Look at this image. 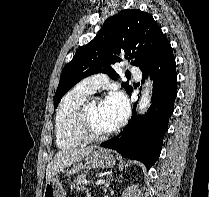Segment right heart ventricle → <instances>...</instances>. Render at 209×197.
<instances>
[{
    "label": "right heart ventricle",
    "instance_id": "e07e8e85",
    "mask_svg": "<svg viewBox=\"0 0 209 197\" xmlns=\"http://www.w3.org/2000/svg\"><path fill=\"white\" fill-rule=\"evenodd\" d=\"M91 94L90 91L77 85L62 98L55 116V137L59 148L71 149L83 143L73 135L71 121L75 111Z\"/></svg>",
    "mask_w": 209,
    "mask_h": 197
}]
</instances>
